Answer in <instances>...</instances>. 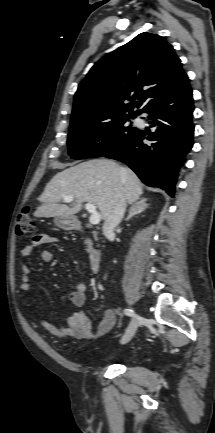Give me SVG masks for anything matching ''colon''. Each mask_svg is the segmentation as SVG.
<instances>
[{
  "mask_svg": "<svg viewBox=\"0 0 215 433\" xmlns=\"http://www.w3.org/2000/svg\"><path fill=\"white\" fill-rule=\"evenodd\" d=\"M16 234L20 237L29 236L35 228L34 218L28 208L23 210L16 219Z\"/></svg>",
  "mask_w": 215,
  "mask_h": 433,
  "instance_id": "obj_1",
  "label": "colon"
}]
</instances>
